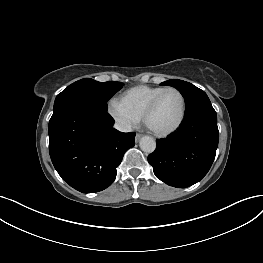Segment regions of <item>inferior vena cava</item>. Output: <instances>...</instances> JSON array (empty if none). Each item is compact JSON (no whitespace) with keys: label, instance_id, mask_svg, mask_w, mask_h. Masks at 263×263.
I'll use <instances>...</instances> for the list:
<instances>
[{"label":"inferior vena cava","instance_id":"602c4592","mask_svg":"<svg viewBox=\"0 0 263 263\" xmlns=\"http://www.w3.org/2000/svg\"><path fill=\"white\" fill-rule=\"evenodd\" d=\"M115 129L121 131V132H131L132 128L131 125L127 124V123H116L114 125Z\"/></svg>","mask_w":263,"mask_h":263}]
</instances>
